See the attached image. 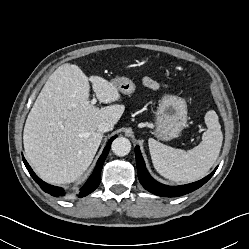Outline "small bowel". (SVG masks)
<instances>
[{"label": "small bowel", "instance_id": "c3829d8e", "mask_svg": "<svg viewBox=\"0 0 249 249\" xmlns=\"http://www.w3.org/2000/svg\"><path fill=\"white\" fill-rule=\"evenodd\" d=\"M143 83L146 87L153 89V90H157L160 87V84L150 77H144Z\"/></svg>", "mask_w": 249, "mask_h": 249}]
</instances>
